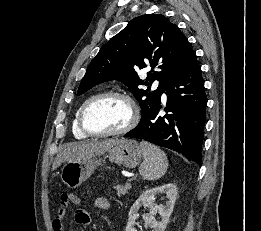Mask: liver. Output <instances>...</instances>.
<instances>
[{"mask_svg":"<svg viewBox=\"0 0 261 231\" xmlns=\"http://www.w3.org/2000/svg\"><path fill=\"white\" fill-rule=\"evenodd\" d=\"M121 141L122 140L118 139H109L104 141L77 142L67 144L57 154L52 165V170L57 169L64 162L82 161L102 155Z\"/></svg>","mask_w":261,"mask_h":231,"instance_id":"liver-1","label":"liver"}]
</instances>
